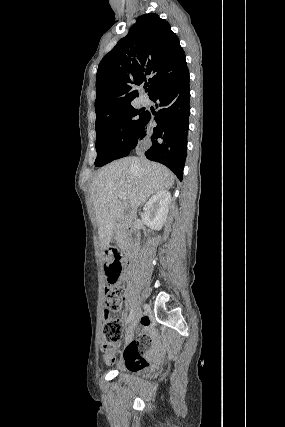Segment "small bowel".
<instances>
[{
  "mask_svg": "<svg viewBox=\"0 0 285 427\" xmlns=\"http://www.w3.org/2000/svg\"><path fill=\"white\" fill-rule=\"evenodd\" d=\"M143 325L149 327V320L143 321ZM162 356V345L157 342L151 345L147 339L131 340L123 354V359L128 368L133 370L146 369L157 364Z\"/></svg>",
  "mask_w": 285,
  "mask_h": 427,
  "instance_id": "obj_1",
  "label": "small bowel"
}]
</instances>
